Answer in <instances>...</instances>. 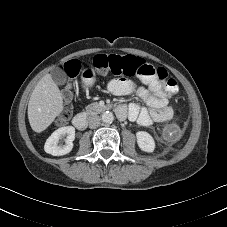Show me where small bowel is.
Listing matches in <instances>:
<instances>
[{
  "label": "small bowel",
  "instance_id": "1",
  "mask_svg": "<svg viewBox=\"0 0 227 227\" xmlns=\"http://www.w3.org/2000/svg\"><path fill=\"white\" fill-rule=\"evenodd\" d=\"M139 77L145 86L137 87L131 80L119 78L109 82L108 91L118 97L135 93L146 104L147 107H140L132 103L128 107V118L137 121L141 126L170 121L174 117V109L168 105L162 84L157 79Z\"/></svg>",
  "mask_w": 227,
  "mask_h": 227
}]
</instances>
